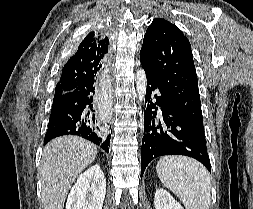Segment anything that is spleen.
Here are the masks:
<instances>
[{
  "instance_id": "3e777b00",
  "label": "spleen",
  "mask_w": 253,
  "mask_h": 209,
  "mask_svg": "<svg viewBox=\"0 0 253 209\" xmlns=\"http://www.w3.org/2000/svg\"><path fill=\"white\" fill-rule=\"evenodd\" d=\"M156 171L186 209H209L210 174L202 164L183 156H166L158 161Z\"/></svg>"
}]
</instances>
